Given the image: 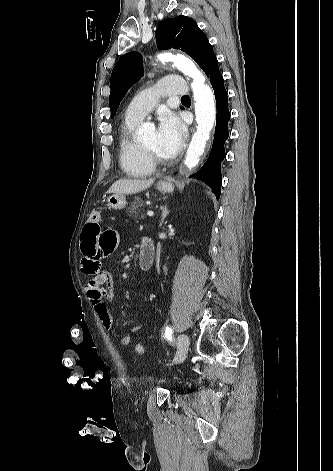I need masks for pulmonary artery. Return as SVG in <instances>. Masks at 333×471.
Segmentation results:
<instances>
[{"label": "pulmonary artery", "mask_w": 333, "mask_h": 471, "mask_svg": "<svg viewBox=\"0 0 333 471\" xmlns=\"http://www.w3.org/2000/svg\"><path fill=\"white\" fill-rule=\"evenodd\" d=\"M187 93L188 86L183 77L179 75L167 76L133 98L125 110V117L141 120L152 111L160 97L186 95Z\"/></svg>", "instance_id": "e3ab8cb5"}]
</instances>
